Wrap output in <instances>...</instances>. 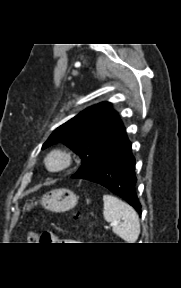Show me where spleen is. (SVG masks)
Masks as SVG:
<instances>
[{"mask_svg": "<svg viewBox=\"0 0 181 288\" xmlns=\"http://www.w3.org/2000/svg\"><path fill=\"white\" fill-rule=\"evenodd\" d=\"M103 202V215L107 222L113 224V232L127 243H135L140 234V224L136 211L112 195H104Z\"/></svg>", "mask_w": 181, "mask_h": 288, "instance_id": "obj_1", "label": "spleen"}]
</instances>
